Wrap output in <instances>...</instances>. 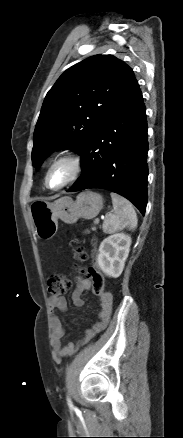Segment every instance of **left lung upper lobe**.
Segmentation results:
<instances>
[{
    "mask_svg": "<svg viewBox=\"0 0 183 438\" xmlns=\"http://www.w3.org/2000/svg\"><path fill=\"white\" fill-rule=\"evenodd\" d=\"M135 82L133 70L112 55L91 56L67 69L44 99L33 137V166L39 168L56 149L81 154Z\"/></svg>",
    "mask_w": 183,
    "mask_h": 438,
    "instance_id": "5c2ea615",
    "label": "left lung upper lobe"
}]
</instances>
